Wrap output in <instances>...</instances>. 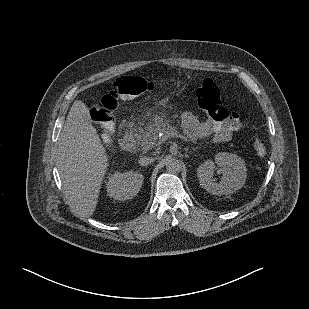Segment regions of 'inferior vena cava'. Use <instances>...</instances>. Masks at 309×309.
<instances>
[{"label": "inferior vena cava", "instance_id": "obj_1", "mask_svg": "<svg viewBox=\"0 0 309 309\" xmlns=\"http://www.w3.org/2000/svg\"><path fill=\"white\" fill-rule=\"evenodd\" d=\"M155 158L149 156H141L138 160L140 166H147L154 162Z\"/></svg>", "mask_w": 309, "mask_h": 309}]
</instances>
